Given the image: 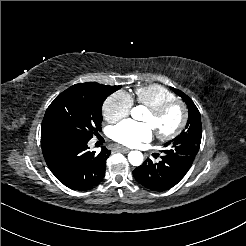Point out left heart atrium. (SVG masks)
I'll list each match as a JSON object with an SVG mask.
<instances>
[{"instance_id": "obj_1", "label": "left heart atrium", "mask_w": 246, "mask_h": 246, "mask_svg": "<svg viewBox=\"0 0 246 246\" xmlns=\"http://www.w3.org/2000/svg\"><path fill=\"white\" fill-rule=\"evenodd\" d=\"M154 131L147 123H137L127 120L116 125L112 130V137L118 143L137 146L142 142L151 140Z\"/></svg>"}]
</instances>
